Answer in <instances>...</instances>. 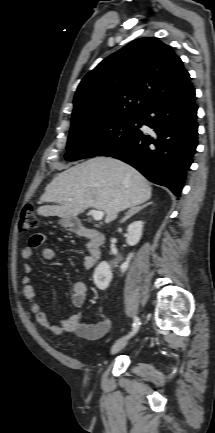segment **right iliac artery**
<instances>
[{
  "label": "right iliac artery",
  "mask_w": 215,
  "mask_h": 433,
  "mask_svg": "<svg viewBox=\"0 0 215 433\" xmlns=\"http://www.w3.org/2000/svg\"><path fill=\"white\" fill-rule=\"evenodd\" d=\"M139 326H140L139 318L137 316H134L133 330L130 332V334L126 338H129L132 335H134L138 331Z\"/></svg>",
  "instance_id": "82829eb1"
}]
</instances>
